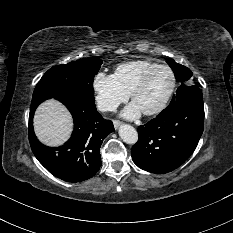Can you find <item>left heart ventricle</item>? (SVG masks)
I'll list each match as a JSON object with an SVG mask.
<instances>
[{"label":"left heart ventricle","instance_id":"b2bd125f","mask_svg":"<svg viewBox=\"0 0 233 233\" xmlns=\"http://www.w3.org/2000/svg\"><path fill=\"white\" fill-rule=\"evenodd\" d=\"M172 84V77L168 70L156 71L142 91L134 98L133 102L142 112L156 108L166 97Z\"/></svg>","mask_w":233,"mask_h":233}]
</instances>
